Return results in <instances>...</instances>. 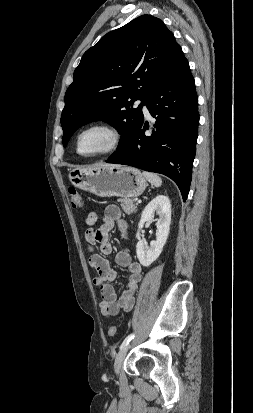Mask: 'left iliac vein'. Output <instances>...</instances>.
Masks as SVG:
<instances>
[{
	"label": "left iliac vein",
	"mask_w": 253,
	"mask_h": 413,
	"mask_svg": "<svg viewBox=\"0 0 253 413\" xmlns=\"http://www.w3.org/2000/svg\"><path fill=\"white\" fill-rule=\"evenodd\" d=\"M129 347L130 346L127 344L125 347L120 349V351L118 352L116 359H115V363H114V370L116 373L119 372L121 365L123 363V360L128 352Z\"/></svg>",
	"instance_id": "obj_1"
}]
</instances>
